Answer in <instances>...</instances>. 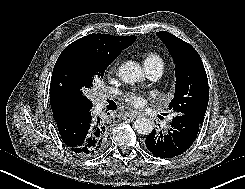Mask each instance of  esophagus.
<instances>
[{"instance_id": "esophagus-1", "label": "esophagus", "mask_w": 245, "mask_h": 189, "mask_svg": "<svg viewBox=\"0 0 245 189\" xmlns=\"http://www.w3.org/2000/svg\"><path fill=\"white\" fill-rule=\"evenodd\" d=\"M139 115V113L137 111H131L127 113V117L130 119H135L137 118V116Z\"/></svg>"}]
</instances>
